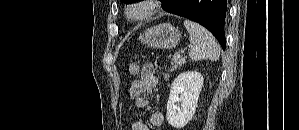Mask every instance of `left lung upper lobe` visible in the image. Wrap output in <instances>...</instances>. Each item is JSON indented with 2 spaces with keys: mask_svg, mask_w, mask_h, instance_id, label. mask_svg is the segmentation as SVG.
I'll return each mask as SVG.
<instances>
[{
  "mask_svg": "<svg viewBox=\"0 0 299 130\" xmlns=\"http://www.w3.org/2000/svg\"><path fill=\"white\" fill-rule=\"evenodd\" d=\"M124 3H132V2H135V1H139V0H122ZM162 2H165L166 0H161Z\"/></svg>",
  "mask_w": 299,
  "mask_h": 130,
  "instance_id": "1",
  "label": "left lung upper lobe"
}]
</instances>
